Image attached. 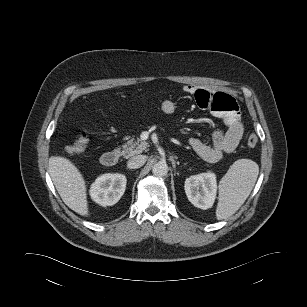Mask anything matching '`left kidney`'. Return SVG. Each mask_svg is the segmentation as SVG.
<instances>
[{
	"instance_id": "left-kidney-1",
	"label": "left kidney",
	"mask_w": 307,
	"mask_h": 307,
	"mask_svg": "<svg viewBox=\"0 0 307 307\" xmlns=\"http://www.w3.org/2000/svg\"><path fill=\"white\" fill-rule=\"evenodd\" d=\"M184 188L188 200L195 207L203 210L211 208L217 193L216 175L206 172L190 176L185 180Z\"/></svg>"
}]
</instances>
